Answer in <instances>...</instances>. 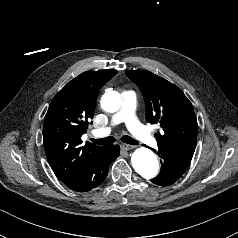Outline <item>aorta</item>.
Masks as SVG:
<instances>
[{"label": "aorta", "instance_id": "1", "mask_svg": "<svg viewBox=\"0 0 238 238\" xmlns=\"http://www.w3.org/2000/svg\"><path fill=\"white\" fill-rule=\"evenodd\" d=\"M121 104L120 95L116 91H109L102 96V108L110 113L119 110ZM132 166L135 171L146 179L154 178L159 169L155 154L144 147L136 149L131 157Z\"/></svg>", "mask_w": 238, "mask_h": 238}]
</instances>
